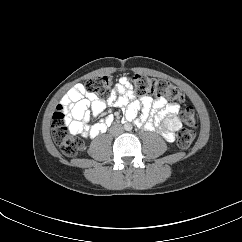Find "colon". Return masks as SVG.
Wrapping results in <instances>:
<instances>
[{
	"label": "colon",
	"instance_id": "5ec220e1",
	"mask_svg": "<svg viewBox=\"0 0 242 242\" xmlns=\"http://www.w3.org/2000/svg\"><path fill=\"white\" fill-rule=\"evenodd\" d=\"M132 84L135 92L141 96L156 95L175 102L184 99L183 92L178 87L162 79L134 74ZM84 87L89 93L107 96L112 91L113 79L110 75L99 76L87 80ZM181 119L185 127L178 133L177 142L181 148H187L191 145L195 135L193 130L197 125L195 110L192 107L185 108L181 113ZM67 125L64 112L58 108L52 117L53 139L64 155L73 157L81 151L83 142Z\"/></svg>",
	"mask_w": 242,
	"mask_h": 242
}]
</instances>
